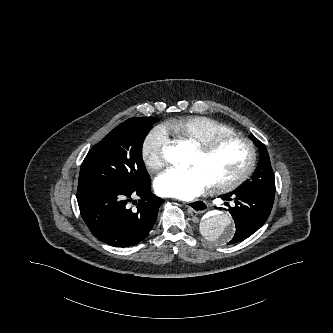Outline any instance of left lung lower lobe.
<instances>
[{
  "label": "left lung lower lobe",
  "mask_w": 333,
  "mask_h": 333,
  "mask_svg": "<svg viewBox=\"0 0 333 333\" xmlns=\"http://www.w3.org/2000/svg\"><path fill=\"white\" fill-rule=\"evenodd\" d=\"M219 197L235 202L233 208L228 205L236 225L235 235L228 244L242 241L256 232L266 222L274 202V196L253 191L235 190Z\"/></svg>",
  "instance_id": "obj_1"
}]
</instances>
